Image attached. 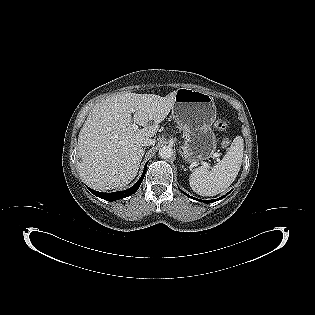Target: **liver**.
Returning <instances> with one entry per match:
<instances>
[{"mask_svg":"<svg viewBox=\"0 0 315 315\" xmlns=\"http://www.w3.org/2000/svg\"><path fill=\"white\" fill-rule=\"evenodd\" d=\"M175 94L122 93L94 105L78 136V170L89 186L110 190L135 178L144 155L142 141L156 135ZM133 121L143 128L134 129Z\"/></svg>","mask_w":315,"mask_h":315,"instance_id":"liver-1","label":"liver"}]
</instances>
